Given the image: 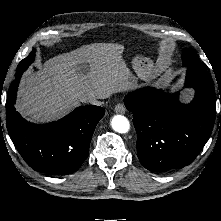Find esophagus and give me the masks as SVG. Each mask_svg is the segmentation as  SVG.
Segmentation results:
<instances>
[{
	"mask_svg": "<svg viewBox=\"0 0 221 221\" xmlns=\"http://www.w3.org/2000/svg\"><path fill=\"white\" fill-rule=\"evenodd\" d=\"M114 111L118 114H124L126 112V108H125L124 104L119 103L115 106Z\"/></svg>",
	"mask_w": 221,
	"mask_h": 221,
	"instance_id": "esophagus-1",
	"label": "esophagus"
}]
</instances>
